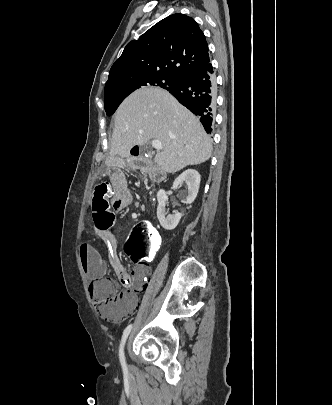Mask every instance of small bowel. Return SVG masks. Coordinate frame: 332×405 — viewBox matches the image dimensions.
<instances>
[{"instance_id": "1", "label": "small bowel", "mask_w": 332, "mask_h": 405, "mask_svg": "<svg viewBox=\"0 0 332 405\" xmlns=\"http://www.w3.org/2000/svg\"><path fill=\"white\" fill-rule=\"evenodd\" d=\"M107 177L112 180V186L114 190L113 197L110 199V204L115 215H126L127 207L132 202V195L127 187V183L124 177H126V168H107ZM100 237L105 241L109 247V251L112 252L113 265L119 276L120 281L129 286L132 290H143L146 288L144 277L145 271L143 267H136L131 274H128L117 256V240L110 232H99ZM79 256L82 267L91 280H96L102 277L106 272V263L103 260L100 253L92 245L83 243L79 247ZM137 307V300L135 296H132L126 306L124 315L126 316L134 312ZM109 318L112 320H120L121 317Z\"/></svg>"}]
</instances>
